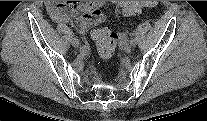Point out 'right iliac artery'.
<instances>
[{
  "instance_id": "right-iliac-artery-1",
  "label": "right iliac artery",
  "mask_w": 207,
  "mask_h": 121,
  "mask_svg": "<svg viewBox=\"0 0 207 121\" xmlns=\"http://www.w3.org/2000/svg\"><path fill=\"white\" fill-rule=\"evenodd\" d=\"M88 49V44L86 43L83 47H82V51H86Z\"/></svg>"
}]
</instances>
